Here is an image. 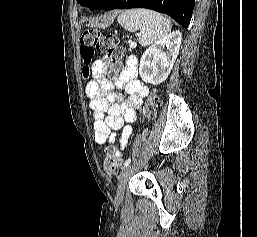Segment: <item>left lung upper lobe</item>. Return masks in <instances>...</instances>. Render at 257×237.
<instances>
[{
  "label": "left lung upper lobe",
  "instance_id": "1",
  "mask_svg": "<svg viewBox=\"0 0 257 237\" xmlns=\"http://www.w3.org/2000/svg\"><path fill=\"white\" fill-rule=\"evenodd\" d=\"M110 0H78L82 5L87 6L90 10L102 9Z\"/></svg>",
  "mask_w": 257,
  "mask_h": 237
}]
</instances>
